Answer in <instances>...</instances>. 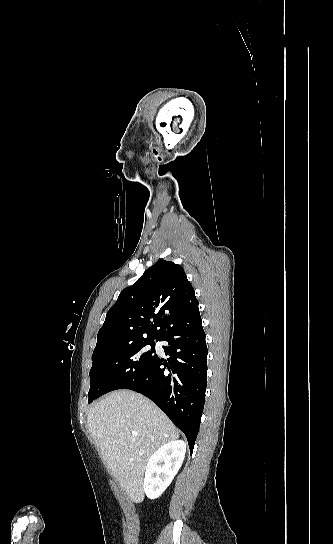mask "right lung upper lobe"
Listing matches in <instances>:
<instances>
[{
    "label": "right lung upper lobe",
    "instance_id": "obj_1",
    "mask_svg": "<svg viewBox=\"0 0 333 544\" xmlns=\"http://www.w3.org/2000/svg\"><path fill=\"white\" fill-rule=\"evenodd\" d=\"M198 314V300L184 269L159 260L122 290L106 314L94 352L142 338L158 340L173 326Z\"/></svg>",
    "mask_w": 333,
    "mask_h": 544
}]
</instances>
